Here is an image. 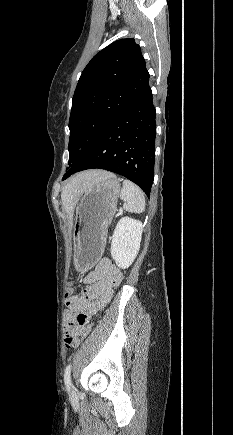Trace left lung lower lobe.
<instances>
[{
  "mask_svg": "<svg viewBox=\"0 0 233 435\" xmlns=\"http://www.w3.org/2000/svg\"><path fill=\"white\" fill-rule=\"evenodd\" d=\"M156 110L148 86L132 105L103 133L89 154L72 167L73 173L93 168L120 174L150 195L155 159Z\"/></svg>",
  "mask_w": 233,
  "mask_h": 435,
  "instance_id": "1",
  "label": "left lung lower lobe"
}]
</instances>
